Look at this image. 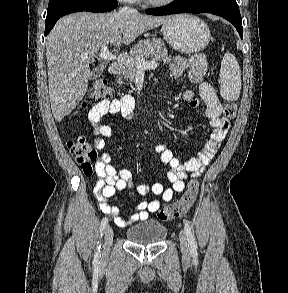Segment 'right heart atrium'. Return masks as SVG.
Here are the masks:
<instances>
[{"instance_id":"1","label":"right heart atrium","mask_w":288,"mask_h":293,"mask_svg":"<svg viewBox=\"0 0 288 293\" xmlns=\"http://www.w3.org/2000/svg\"><path fill=\"white\" fill-rule=\"evenodd\" d=\"M120 1H124V2H133V1H136V0H120Z\"/></svg>"}]
</instances>
